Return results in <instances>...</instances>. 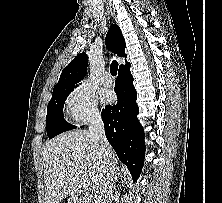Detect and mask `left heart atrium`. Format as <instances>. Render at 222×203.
<instances>
[{
    "instance_id": "left-heart-atrium-1",
    "label": "left heart atrium",
    "mask_w": 222,
    "mask_h": 203,
    "mask_svg": "<svg viewBox=\"0 0 222 203\" xmlns=\"http://www.w3.org/2000/svg\"><path fill=\"white\" fill-rule=\"evenodd\" d=\"M101 98L104 103H109L112 101L113 96L110 92L106 91V92L102 93Z\"/></svg>"
}]
</instances>
